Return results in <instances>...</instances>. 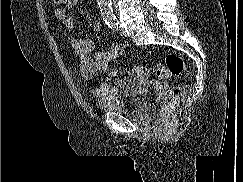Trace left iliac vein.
Listing matches in <instances>:
<instances>
[{"label":"left iliac vein","instance_id":"obj_1","mask_svg":"<svg viewBox=\"0 0 243 182\" xmlns=\"http://www.w3.org/2000/svg\"><path fill=\"white\" fill-rule=\"evenodd\" d=\"M120 34L123 37H126L127 36L126 31L124 29H120Z\"/></svg>","mask_w":243,"mask_h":182}]
</instances>
